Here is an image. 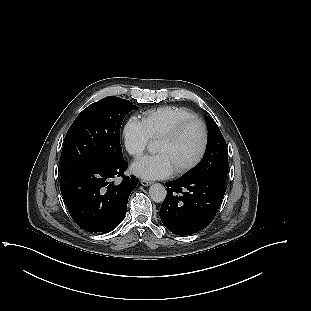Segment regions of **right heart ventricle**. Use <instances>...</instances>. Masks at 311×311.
<instances>
[{"mask_svg":"<svg viewBox=\"0 0 311 311\" xmlns=\"http://www.w3.org/2000/svg\"><path fill=\"white\" fill-rule=\"evenodd\" d=\"M195 117L194 112L185 107L163 106L144 112L142 122L150 140H156L177 123Z\"/></svg>","mask_w":311,"mask_h":311,"instance_id":"right-heart-ventricle-1","label":"right heart ventricle"}]
</instances>
